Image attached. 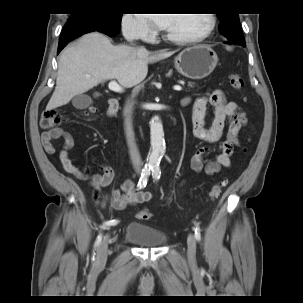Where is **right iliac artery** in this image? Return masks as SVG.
Wrapping results in <instances>:
<instances>
[{
    "label": "right iliac artery",
    "instance_id": "obj_1",
    "mask_svg": "<svg viewBox=\"0 0 303 303\" xmlns=\"http://www.w3.org/2000/svg\"><path fill=\"white\" fill-rule=\"evenodd\" d=\"M151 169H152V167L150 165H145V167L143 168L142 173H141V177H140L138 185H137V187L139 189L144 188L146 186ZM117 223H118L117 220L106 221L103 224L102 228H105V226H107V225L117 224ZM101 240H102V234L100 233L96 238L94 248H96L101 243ZM93 258H94V256H93Z\"/></svg>",
    "mask_w": 303,
    "mask_h": 303
}]
</instances>
